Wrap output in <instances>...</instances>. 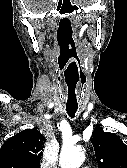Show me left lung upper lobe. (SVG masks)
<instances>
[{
  "instance_id": "left-lung-upper-lobe-1",
  "label": "left lung upper lobe",
  "mask_w": 127,
  "mask_h": 168,
  "mask_svg": "<svg viewBox=\"0 0 127 168\" xmlns=\"http://www.w3.org/2000/svg\"><path fill=\"white\" fill-rule=\"evenodd\" d=\"M91 141L99 168H127V146L116 134L97 127Z\"/></svg>"
}]
</instances>
